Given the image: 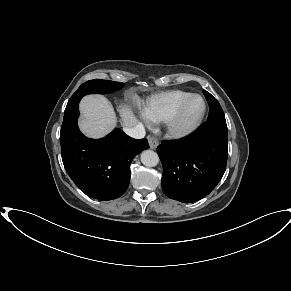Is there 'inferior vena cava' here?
I'll return each instance as SVG.
<instances>
[{
	"mask_svg": "<svg viewBox=\"0 0 291 291\" xmlns=\"http://www.w3.org/2000/svg\"><path fill=\"white\" fill-rule=\"evenodd\" d=\"M124 131L132 138L141 139L145 136V128L141 123H137L133 127H125Z\"/></svg>",
	"mask_w": 291,
	"mask_h": 291,
	"instance_id": "1",
	"label": "inferior vena cava"
}]
</instances>
